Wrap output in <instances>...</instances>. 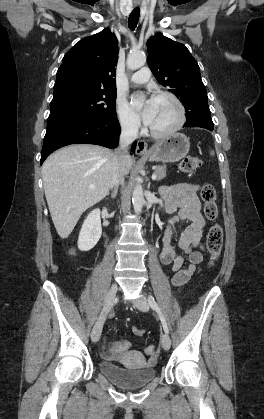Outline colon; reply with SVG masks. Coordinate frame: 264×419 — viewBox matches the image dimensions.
<instances>
[{
    "label": "colon",
    "instance_id": "5ec220e1",
    "mask_svg": "<svg viewBox=\"0 0 264 419\" xmlns=\"http://www.w3.org/2000/svg\"><path fill=\"white\" fill-rule=\"evenodd\" d=\"M200 166V160L196 156H187L179 161L177 170L181 173L190 174ZM201 198L204 202V214L210 221H215L218 216V210L215 203L216 192L212 185L205 184L201 189ZM223 244V230L218 223H213L206 236V247L210 255L209 265L213 266L217 261ZM149 357H155L157 350L155 346L150 345L145 349Z\"/></svg>",
    "mask_w": 264,
    "mask_h": 419
}]
</instances>
